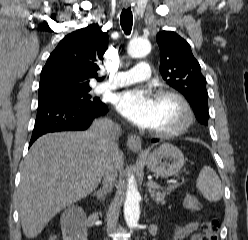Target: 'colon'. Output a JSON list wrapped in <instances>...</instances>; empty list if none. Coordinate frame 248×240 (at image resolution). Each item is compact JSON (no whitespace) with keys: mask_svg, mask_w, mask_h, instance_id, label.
Wrapping results in <instances>:
<instances>
[{"mask_svg":"<svg viewBox=\"0 0 248 240\" xmlns=\"http://www.w3.org/2000/svg\"><path fill=\"white\" fill-rule=\"evenodd\" d=\"M184 205L190 211H199L201 204L198 199L192 195L187 194L184 197ZM203 235L202 240H218L219 222L215 219L207 220L202 225ZM49 240H55L53 237Z\"/></svg>","mask_w":248,"mask_h":240,"instance_id":"1","label":"colon"}]
</instances>
